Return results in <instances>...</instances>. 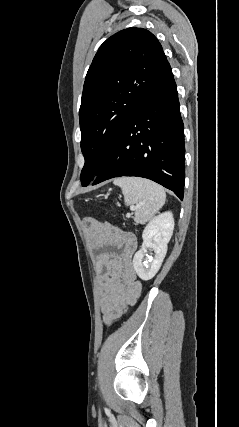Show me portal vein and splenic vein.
<instances>
[{
    "instance_id": "18ae733b",
    "label": "portal vein and splenic vein",
    "mask_w": 239,
    "mask_h": 427,
    "mask_svg": "<svg viewBox=\"0 0 239 427\" xmlns=\"http://www.w3.org/2000/svg\"><path fill=\"white\" fill-rule=\"evenodd\" d=\"M136 208H137V207L131 206V207H130V210H131V211H134Z\"/></svg>"
}]
</instances>
